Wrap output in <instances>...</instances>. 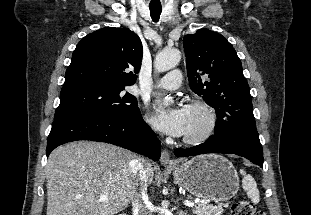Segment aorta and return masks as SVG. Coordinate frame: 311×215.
<instances>
[{
	"mask_svg": "<svg viewBox=\"0 0 311 215\" xmlns=\"http://www.w3.org/2000/svg\"><path fill=\"white\" fill-rule=\"evenodd\" d=\"M181 53L177 49L163 50L156 55L154 60V68L157 72H165L174 68L180 61ZM165 104L170 103L169 99H165Z\"/></svg>",
	"mask_w": 311,
	"mask_h": 215,
	"instance_id": "obj_1",
	"label": "aorta"
}]
</instances>
